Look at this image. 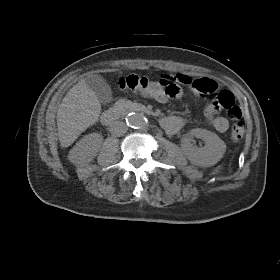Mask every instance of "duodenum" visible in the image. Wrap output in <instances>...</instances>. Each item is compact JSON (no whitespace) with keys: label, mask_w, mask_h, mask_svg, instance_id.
<instances>
[{"label":"duodenum","mask_w":280,"mask_h":280,"mask_svg":"<svg viewBox=\"0 0 280 280\" xmlns=\"http://www.w3.org/2000/svg\"><path fill=\"white\" fill-rule=\"evenodd\" d=\"M129 109L138 110L140 108L138 106H132ZM124 111L125 109L122 108H111L106 110L101 116L102 124L106 126L112 125L123 114Z\"/></svg>","instance_id":"duodenum-1"}]
</instances>
